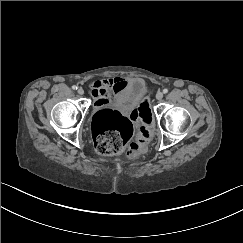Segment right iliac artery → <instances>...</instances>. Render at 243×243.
<instances>
[{
    "instance_id": "82829eb1",
    "label": "right iliac artery",
    "mask_w": 243,
    "mask_h": 243,
    "mask_svg": "<svg viewBox=\"0 0 243 243\" xmlns=\"http://www.w3.org/2000/svg\"><path fill=\"white\" fill-rule=\"evenodd\" d=\"M72 89H73V90H76V89H77V86L73 85V86H72Z\"/></svg>"
}]
</instances>
